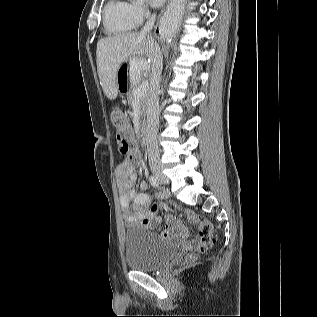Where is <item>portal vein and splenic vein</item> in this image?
Masks as SVG:
<instances>
[{"label": "portal vein and splenic vein", "instance_id": "portal-vein-and-splenic-vein-1", "mask_svg": "<svg viewBox=\"0 0 317 317\" xmlns=\"http://www.w3.org/2000/svg\"><path fill=\"white\" fill-rule=\"evenodd\" d=\"M141 65H143V63H141ZM148 87H149V84L147 81L142 82V84L138 86L136 90L134 91V95L138 97L143 96L144 94H146Z\"/></svg>", "mask_w": 317, "mask_h": 317}]
</instances>
